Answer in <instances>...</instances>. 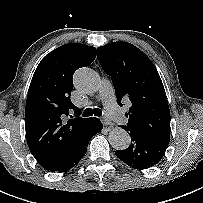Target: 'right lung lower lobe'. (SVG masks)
<instances>
[{
	"instance_id": "right-lung-lower-lobe-1",
	"label": "right lung lower lobe",
	"mask_w": 203,
	"mask_h": 203,
	"mask_svg": "<svg viewBox=\"0 0 203 203\" xmlns=\"http://www.w3.org/2000/svg\"><path fill=\"white\" fill-rule=\"evenodd\" d=\"M103 128L102 123L98 118H96L89 126L86 133L80 139L79 143L74 148L72 154L70 155L69 159L63 164V166L58 170L59 172H65L75 166L85 155L87 151V146L89 143V139L96 134L97 132L101 131Z\"/></svg>"
}]
</instances>
